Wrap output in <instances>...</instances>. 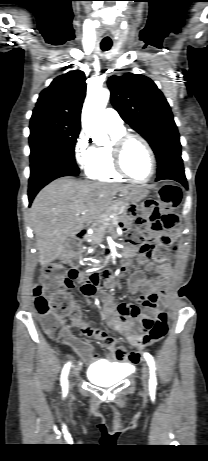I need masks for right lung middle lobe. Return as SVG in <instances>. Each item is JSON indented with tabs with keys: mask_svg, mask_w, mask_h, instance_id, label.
<instances>
[{
	"mask_svg": "<svg viewBox=\"0 0 208 461\" xmlns=\"http://www.w3.org/2000/svg\"><path fill=\"white\" fill-rule=\"evenodd\" d=\"M80 127L54 119L30 120L31 175L41 169L61 165L79 173L74 148Z\"/></svg>",
	"mask_w": 208,
	"mask_h": 461,
	"instance_id": "obj_1",
	"label": "right lung middle lobe"
}]
</instances>
